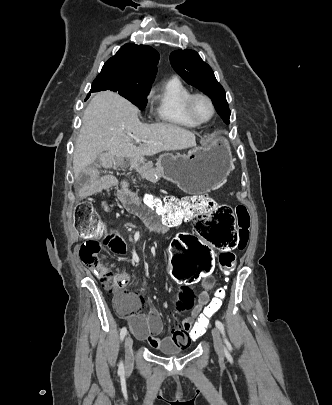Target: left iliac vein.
Segmentation results:
<instances>
[{"instance_id":"1","label":"left iliac vein","mask_w":332,"mask_h":405,"mask_svg":"<svg viewBox=\"0 0 332 405\" xmlns=\"http://www.w3.org/2000/svg\"><path fill=\"white\" fill-rule=\"evenodd\" d=\"M212 336H213V342H214V348L215 351L217 352V354L219 356H223L224 355V347L222 344V339H221V335L219 332V329L214 327L212 329Z\"/></svg>"}]
</instances>
